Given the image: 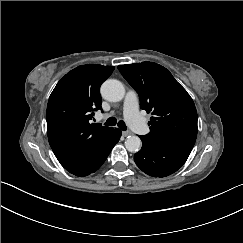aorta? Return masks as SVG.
Returning <instances> with one entry per match:
<instances>
[{
  "mask_svg": "<svg viewBox=\"0 0 243 243\" xmlns=\"http://www.w3.org/2000/svg\"><path fill=\"white\" fill-rule=\"evenodd\" d=\"M101 95L111 102L121 101L125 95L123 84L115 79L106 80L101 86ZM141 140L138 136H129L125 141V147L129 152H137L141 148Z\"/></svg>",
  "mask_w": 243,
  "mask_h": 243,
  "instance_id": "1",
  "label": "aorta"
}]
</instances>
